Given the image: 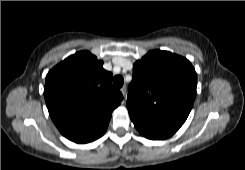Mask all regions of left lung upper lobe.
I'll use <instances>...</instances> for the list:
<instances>
[{"instance_id": "5c2ea615", "label": "left lung upper lobe", "mask_w": 245, "mask_h": 170, "mask_svg": "<svg viewBox=\"0 0 245 170\" xmlns=\"http://www.w3.org/2000/svg\"><path fill=\"white\" fill-rule=\"evenodd\" d=\"M196 86L189 60L153 50L134 64L126 106L132 117L177 131L191 111Z\"/></svg>"}]
</instances>
